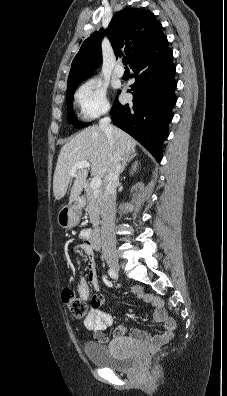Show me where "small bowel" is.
I'll return each mask as SVG.
<instances>
[{"label": "small bowel", "mask_w": 227, "mask_h": 396, "mask_svg": "<svg viewBox=\"0 0 227 396\" xmlns=\"http://www.w3.org/2000/svg\"><path fill=\"white\" fill-rule=\"evenodd\" d=\"M80 239L82 242L78 246V250L89 258V265L87 276L81 277L78 280L77 289L80 298L87 300L90 297L91 288L96 291L99 289L96 260L94 258V252L98 247L91 240L88 230H83L80 233ZM132 293L137 298L154 306L153 318L156 322L163 325V333L150 335L139 329H131L128 332L127 328L121 325L114 329L112 339L109 340L108 336L105 334V330L113 324V318L109 313L99 309L104 303L101 295L93 297V309L84 318V325L88 330L94 333L95 340L98 343H107L110 341L112 344H136L150 349L159 348L172 339L176 329V322L174 319L167 316L163 301L160 298L144 293L138 286L132 288Z\"/></svg>", "instance_id": "small-bowel-1"}]
</instances>
